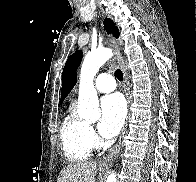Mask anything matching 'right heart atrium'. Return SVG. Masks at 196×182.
<instances>
[{"instance_id":"1","label":"right heart atrium","mask_w":196,"mask_h":182,"mask_svg":"<svg viewBox=\"0 0 196 182\" xmlns=\"http://www.w3.org/2000/svg\"><path fill=\"white\" fill-rule=\"evenodd\" d=\"M88 138L90 140V143L94 146L98 143V138L96 136V133L93 129V127L88 126Z\"/></svg>"}]
</instances>
